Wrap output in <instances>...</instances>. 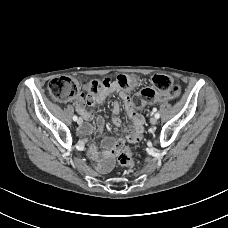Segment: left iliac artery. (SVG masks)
<instances>
[{
  "label": "left iliac artery",
  "instance_id": "44dca946",
  "mask_svg": "<svg viewBox=\"0 0 228 228\" xmlns=\"http://www.w3.org/2000/svg\"><path fill=\"white\" fill-rule=\"evenodd\" d=\"M155 117H156L157 119H159V118H160V114H159V113H156V114H155Z\"/></svg>",
  "mask_w": 228,
  "mask_h": 228
}]
</instances>
